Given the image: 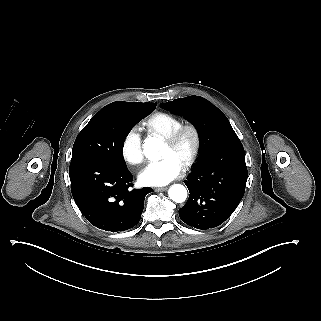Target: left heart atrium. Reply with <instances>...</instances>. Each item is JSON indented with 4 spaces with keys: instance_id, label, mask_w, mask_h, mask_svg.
<instances>
[{
    "instance_id": "39dd6f15",
    "label": "left heart atrium",
    "mask_w": 321,
    "mask_h": 321,
    "mask_svg": "<svg viewBox=\"0 0 321 321\" xmlns=\"http://www.w3.org/2000/svg\"><path fill=\"white\" fill-rule=\"evenodd\" d=\"M184 173V166L174 154L148 163L139 173V181L146 186H164Z\"/></svg>"
}]
</instances>
